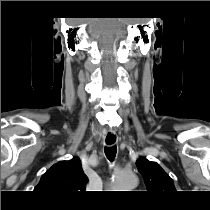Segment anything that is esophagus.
Returning <instances> with one entry per match:
<instances>
[{
    "instance_id": "1",
    "label": "esophagus",
    "mask_w": 210,
    "mask_h": 210,
    "mask_svg": "<svg viewBox=\"0 0 210 210\" xmlns=\"http://www.w3.org/2000/svg\"><path fill=\"white\" fill-rule=\"evenodd\" d=\"M118 142V136L114 132H107L103 138V144L107 147H112Z\"/></svg>"
}]
</instances>
